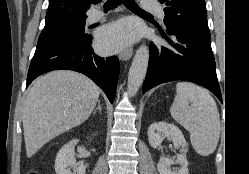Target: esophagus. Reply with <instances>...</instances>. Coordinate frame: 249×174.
Here are the masks:
<instances>
[{
  "instance_id": "esophagus-1",
  "label": "esophagus",
  "mask_w": 249,
  "mask_h": 174,
  "mask_svg": "<svg viewBox=\"0 0 249 174\" xmlns=\"http://www.w3.org/2000/svg\"><path fill=\"white\" fill-rule=\"evenodd\" d=\"M133 55V48L129 47L125 51L119 54V59L123 61L129 60Z\"/></svg>"
}]
</instances>
